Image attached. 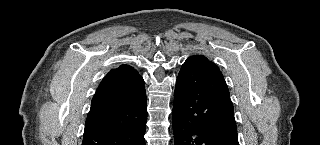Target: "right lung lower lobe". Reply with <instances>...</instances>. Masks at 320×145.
Listing matches in <instances>:
<instances>
[{
    "label": "right lung lower lobe",
    "instance_id": "1",
    "mask_svg": "<svg viewBox=\"0 0 320 145\" xmlns=\"http://www.w3.org/2000/svg\"><path fill=\"white\" fill-rule=\"evenodd\" d=\"M116 93L120 94L117 101L88 114L82 145H145L147 102L142 77Z\"/></svg>",
    "mask_w": 320,
    "mask_h": 145
}]
</instances>
